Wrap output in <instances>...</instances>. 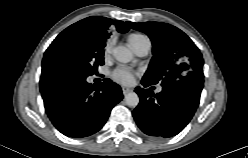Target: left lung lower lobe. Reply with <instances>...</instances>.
I'll use <instances>...</instances> for the list:
<instances>
[{
    "mask_svg": "<svg viewBox=\"0 0 248 158\" xmlns=\"http://www.w3.org/2000/svg\"><path fill=\"white\" fill-rule=\"evenodd\" d=\"M147 87L150 84L142 80ZM203 88L201 81L178 80L163 86L160 93L136 88L140 103L133 111L138 127L147 135L172 137L184 129L193 117Z\"/></svg>",
    "mask_w": 248,
    "mask_h": 158,
    "instance_id": "0a47b994",
    "label": "left lung lower lobe"
}]
</instances>
